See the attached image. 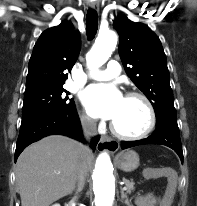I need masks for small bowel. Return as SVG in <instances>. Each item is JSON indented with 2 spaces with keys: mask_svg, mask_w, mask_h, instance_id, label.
Listing matches in <instances>:
<instances>
[{
  "mask_svg": "<svg viewBox=\"0 0 197 206\" xmlns=\"http://www.w3.org/2000/svg\"><path fill=\"white\" fill-rule=\"evenodd\" d=\"M162 201L151 195H140L136 198L137 206H162Z\"/></svg>",
  "mask_w": 197,
  "mask_h": 206,
  "instance_id": "obj_1",
  "label": "small bowel"
}]
</instances>
